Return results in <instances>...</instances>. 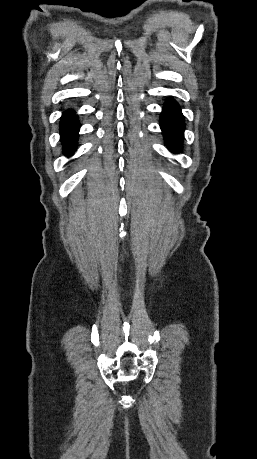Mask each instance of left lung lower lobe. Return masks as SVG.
<instances>
[{"mask_svg":"<svg viewBox=\"0 0 257 459\" xmlns=\"http://www.w3.org/2000/svg\"><path fill=\"white\" fill-rule=\"evenodd\" d=\"M160 125L168 148L179 152L183 140L184 119L179 105L173 99H168L164 105Z\"/></svg>","mask_w":257,"mask_h":459,"instance_id":"left-lung-lower-lobe-1","label":"left lung lower lobe"}]
</instances>
